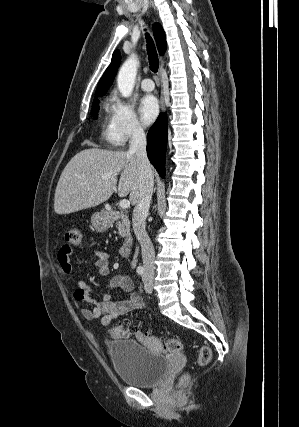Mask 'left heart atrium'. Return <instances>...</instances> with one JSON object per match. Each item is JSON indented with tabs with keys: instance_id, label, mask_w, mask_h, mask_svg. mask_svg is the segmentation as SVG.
I'll list each match as a JSON object with an SVG mask.
<instances>
[{
	"instance_id": "obj_1",
	"label": "left heart atrium",
	"mask_w": 299,
	"mask_h": 427,
	"mask_svg": "<svg viewBox=\"0 0 299 427\" xmlns=\"http://www.w3.org/2000/svg\"><path fill=\"white\" fill-rule=\"evenodd\" d=\"M138 112L143 124H151L156 119L159 112L157 99L153 95H146L141 98L138 105Z\"/></svg>"
}]
</instances>
